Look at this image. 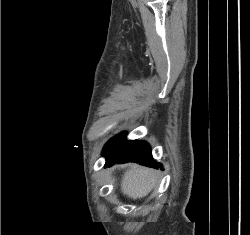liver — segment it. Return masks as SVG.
I'll return each instance as SVG.
<instances>
[{
	"instance_id": "6515ba94",
	"label": "liver",
	"mask_w": 250,
	"mask_h": 235,
	"mask_svg": "<svg viewBox=\"0 0 250 235\" xmlns=\"http://www.w3.org/2000/svg\"><path fill=\"white\" fill-rule=\"evenodd\" d=\"M156 172L152 169L131 164L124 173L121 182V191L132 199H141L155 187Z\"/></svg>"
}]
</instances>
